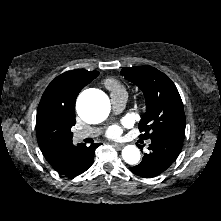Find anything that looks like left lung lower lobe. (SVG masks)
I'll use <instances>...</instances> for the list:
<instances>
[{"label":"left lung lower lobe","instance_id":"obj_1","mask_svg":"<svg viewBox=\"0 0 221 221\" xmlns=\"http://www.w3.org/2000/svg\"><path fill=\"white\" fill-rule=\"evenodd\" d=\"M149 152L144 154L139 165L130 170L141 177L153 178L165 172L177 159L183 146V140L173 137L157 136L151 139Z\"/></svg>","mask_w":221,"mask_h":221}]
</instances>
